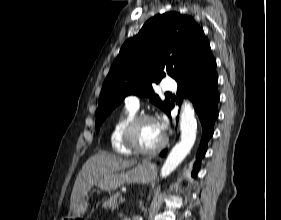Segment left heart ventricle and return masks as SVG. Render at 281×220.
Returning <instances> with one entry per match:
<instances>
[{
    "mask_svg": "<svg viewBox=\"0 0 281 220\" xmlns=\"http://www.w3.org/2000/svg\"><path fill=\"white\" fill-rule=\"evenodd\" d=\"M135 139L140 147L153 148L162 141L163 135L155 121L147 120L138 125Z\"/></svg>",
    "mask_w": 281,
    "mask_h": 220,
    "instance_id": "b2bd125f",
    "label": "left heart ventricle"
}]
</instances>
